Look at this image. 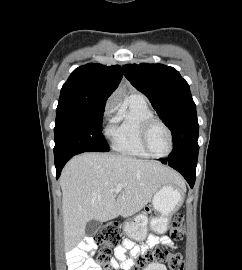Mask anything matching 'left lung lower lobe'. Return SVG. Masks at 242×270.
Listing matches in <instances>:
<instances>
[{
    "label": "left lung lower lobe",
    "instance_id": "1",
    "mask_svg": "<svg viewBox=\"0 0 242 270\" xmlns=\"http://www.w3.org/2000/svg\"><path fill=\"white\" fill-rule=\"evenodd\" d=\"M162 163L168 164L170 167L180 172L183 175V177L187 180V182L190 184V186L193 187L195 183L197 158L180 161V162H171L167 160V161H162Z\"/></svg>",
    "mask_w": 242,
    "mask_h": 270
}]
</instances>
